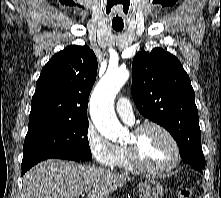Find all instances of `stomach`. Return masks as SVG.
Wrapping results in <instances>:
<instances>
[{
    "instance_id": "obj_1",
    "label": "stomach",
    "mask_w": 221,
    "mask_h": 198,
    "mask_svg": "<svg viewBox=\"0 0 221 198\" xmlns=\"http://www.w3.org/2000/svg\"><path fill=\"white\" fill-rule=\"evenodd\" d=\"M137 188L140 198H160L163 195L161 184L154 180L141 182Z\"/></svg>"
}]
</instances>
